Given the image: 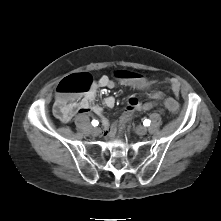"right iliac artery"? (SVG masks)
I'll return each instance as SVG.
<instances>
[{
	"mask_svg": "<svg viewBox=\"0 0 221 221\" xmlns=\"http://www.w3.org/2000/svg\"><path fill=\"white\" fill-rule=\"evenodd\" d=\"M99 122L97 120H92V125L94 127L98 126Z\"/></svg>",
	"mask_w": 221,
	"mask_h": 221,
	"instance_id": "1",
	"label": "right iliac artery"
}]
</instances>
